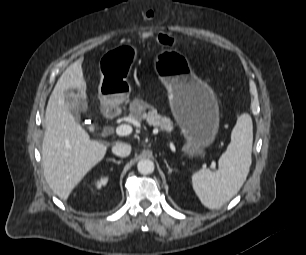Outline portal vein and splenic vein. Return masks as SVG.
<instances>
[{
  "instance_id": "portal-vein-and-splenic-vein-1",
  "label": "portal vein and splenic vein",
  "mask_w": 306,
  "mask_h": 255,
  "mask_svg": "<svg viewBox=\"0 0 306 255\" xmlns=\"http://www.w3.org/2000/svg\"><path fill=\"white\" fill-rule=\"evenodd\" d=\"M115 133L118 136H126L132 133V127L127 124H122L116 127Z\"/></svg>"
}]
</instances>
